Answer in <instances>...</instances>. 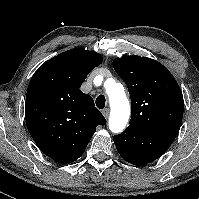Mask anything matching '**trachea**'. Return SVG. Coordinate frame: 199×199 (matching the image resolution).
<instances>
[{"label":"trachea","instance_id":"1","mask_svg":"<svg viewBox=\"0 0 199 199\" xmlns=\"http://www.w3.org/2000/svg\"><path fill=\"white\" fill-rule=\"evenodd\" d=\"M105 104H106V99L103 95H99L97 98H96V106L99 108V109H103L105 107Z\"/></svg>","mask_w":199,"mask_h":199}]
</instances>
